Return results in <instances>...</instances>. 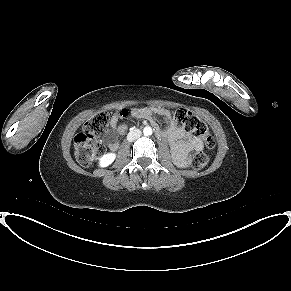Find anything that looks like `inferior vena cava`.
<instances>
[{"instance_id":"1","label":"inferior vena cava","mask_w":291,"mask_h":291,"mask_svg":"<svg viewBox=\"0 0 291 291\" xmlns=\"http://www.w3.org/2000/svg\"><path fill=\"white\" fill-rule=\"evenodd\" d=\"M141 131L137 128L132 129L128 135H127V140L132 142L134 140H136L137 138H139L141 136Z\"/></svg>"}]
</instances>
